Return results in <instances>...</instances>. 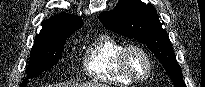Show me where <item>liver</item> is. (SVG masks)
I'll list each match as a JSON object with an SVG mask.
<instances>
[{"label":"liver","instance_id":"1","mask_svg":"<svg viewBox=\"0 0 205 87\" xmlns=\"http://www.w3.org/2000/svg\"><path fill=\"white\" fill-rule=\"evenodd\" d=\"M59 87H107V86L100 83H88V84H73V85L63 84L62 86Z\"/></svg>","mask_w":205,"mask_h":87}]
</instances>
